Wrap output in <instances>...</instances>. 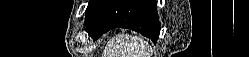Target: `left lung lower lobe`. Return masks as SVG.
<instances>
[{"instance_id": "obj_1", "label": "left lung lower lobe", "mask_w": 249, "mask_h": 57, "mask_svg": "<svg viewBox=\"0 0 249 57\" xmlns=\"http://www.w3.org/2000/svg\"><path fill=\"white\" fill-rule=\"evenodd\" d=\"M85 26L94 40L121 27L139 32L156 43L160 33L156 0H107Z\"/></svg>"}]
</instances>
